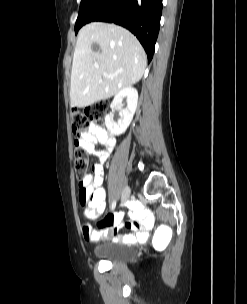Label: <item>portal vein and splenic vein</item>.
Instances as JSON below:
<instances>
[{
	"mask_svg": "<svg viewBox=\"0 0 247 304\" xmlns=\"http://www.w3.org/2000/svg\"><path fill=\"white\" fill-rule=\"evenodd\" d=\"M103 75H104V76H109L107 73H104Z\"/></svg>",
	"mask_w": 247,
	"mask_h": 304,
	"instance_id": "1",
	"label": "portal vein and splenic vein"
}]
</instances>
